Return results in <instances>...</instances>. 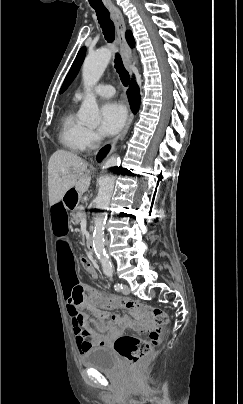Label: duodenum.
<instances>
[{"instance_id":"obj_1","label":"duodenum","mask_w":243,"mask_h":404,"mask_svg":"<svg viewBox=\"0 0 243 404\" xmlns=\"http://www.w3.org/2000/svg\"><path fill=\"white\" fill-rule=\"evenodd\" d=\"M79 199H80L79 192L74 187L67 188L63 193V200L65 202V205L70 210L77 209L78 204H79ZM87 247L91 252L94 251L93 237H91V236L88 237V239H87Z\"/></svg>"}]
</instances>
